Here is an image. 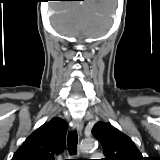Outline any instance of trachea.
<instances>
[{
  "label": "trachea",
  "instance_id": "1",
  "mask_svg": "<svg viewBox=\"0 0 160 160\" xmlns=\"http://www.w3.org/2000/svg\"><path fill=\"white\" fill-rule=\"evenodd\" d=\"M77 143H78V136L76 131H74L68 135V140H67L68 151L71 155H74L76 153Z\"/></svg>",
  "mask_w": 160,
  "mask_h": 160
}]
</instances>
